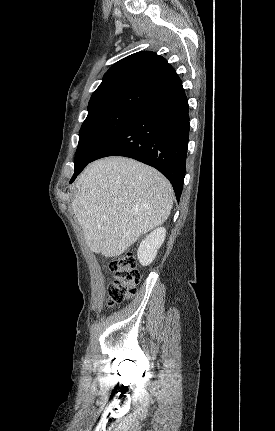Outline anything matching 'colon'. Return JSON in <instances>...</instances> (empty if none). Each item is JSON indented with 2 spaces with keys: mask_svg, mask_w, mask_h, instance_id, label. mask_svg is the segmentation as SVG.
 <instances>
[{
  "mask_svg": "<svg viewBox=\"0 0 275 431\" xmlns=\"http://www.w3.org/2000/svg\"><path fill=\"white\" fill-rule=\"evenodd\" d=\"M113 281L108 287L107 304L113 306L130 299L137 292L140 274L136 269V259L132 253H125L109 264Z\"/></svg>",
  "mask_w": 275,
  "mask_h": 431,
  "instance_id": "colon-1",
  "label": "colon"
}]
</instances>
